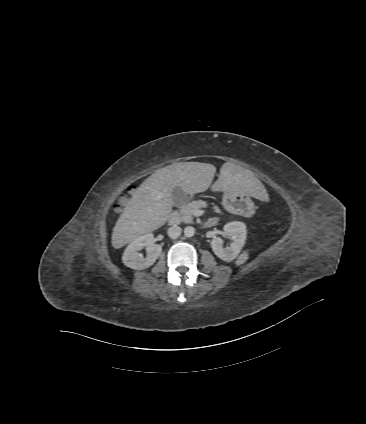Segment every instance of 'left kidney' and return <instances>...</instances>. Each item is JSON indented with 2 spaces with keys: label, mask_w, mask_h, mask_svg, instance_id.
Listing matches in <instances>:
<instances>
[{
  "label": "left kidney",
  "mask_w": 366,
  "mask_h": 424,
  "mask_svg": "<svg viewBox=\"0 0 366 424\" xmlns=\"http://www.w3.org/2000/svg\"><path fill=\"white\" fill-rule=\"evenodd\" d=\"M224 234L232 239L229 247H223V239L220 237H213L211 241V248L214 254L221 260L231 262L236 259L243 248L246 240V226L242 222H230L224 226Z\"/></svg>",
  "instance_id": "5707ae66"
}]
</instances>
